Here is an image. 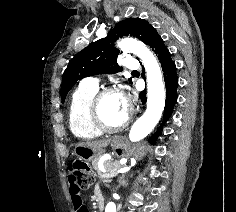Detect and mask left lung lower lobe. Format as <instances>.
Segmentation results:
<instances>
[{
	"mask_svg": "<svg viewBox=\"0 0 236 212\" xmlns=\"http://www.w3.org/2000/svg\"><path fill=\"white\" fill-rule=\"evenodd\" d=\"M147 45H149L152 50L157 55L160 60L161 67L163 70L165 86H166V101H165V110H164V121H166L174 108V105L177 100V87H178V78L176 73V65L171 59V54L169 50L164 45V41L161 36L157 33L156 29L153 28L149 33L147 39ZM140 98L143 103L146 101V91H142ZM162 130L160 127L157 132L150 138L152 144L155 143L156 138L159 132Z\"/></svg>",
	"mask_w": 236,
	"mask_h": 212,
	"instance_id": "1",
	"label": "left lung lower lobe"
}]
</instances>
